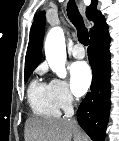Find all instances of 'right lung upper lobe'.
<instances>
[{
    "mask_svg": "<svg viewBox=\"0 0 119 141\" xmlns=\"http://www.w3.org/2000/svg\"><path fill=\"white\" fill-rule=\"evenodd\" d=\"M88 19L94 21L95 26L101 22L104 17L100 11H97V0H92L91 5L86 9ZM45 14L41 12L35 19L30 30V40L25 58V72H33L42 58V42L44 36ZM90 30V33L95 28Z\"/></svg>",
    "mask_w": 119,
    "mask_h": 141,
    "instance_id": "obj_1",
    "label": "right lung upper lobe"
}]
</instances>
